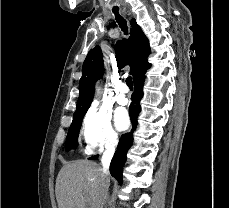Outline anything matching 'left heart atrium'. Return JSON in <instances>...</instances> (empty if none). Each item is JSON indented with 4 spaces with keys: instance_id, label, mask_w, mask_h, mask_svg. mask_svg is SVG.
I'll use <instances>...</instances> for the list:
<instances>
[{
    "instance_id": "39dd6f15",
    "label": "left heart atrium",
    "mask_w": 229,
    "mask_h": 208,
    "mask_svg": "<svg viewBox=\"0 0 229 208\" xmlns=\"http://www.w3.org/2000/svg\"><path fill=\"white\" fill-rule=\"evenodd\" d=\"M118 129L125 130L129 126V118L125 111H121L116 115L115 118Z\"/></svg>"
}]
</instances>
